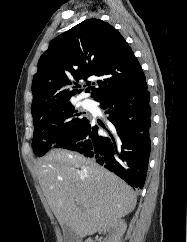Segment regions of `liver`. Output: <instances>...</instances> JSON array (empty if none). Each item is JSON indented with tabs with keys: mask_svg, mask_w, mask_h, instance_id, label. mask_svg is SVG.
<instances>
[{
	"mask_svg": "<svg viewBox=\"0 0 187 242\" xmlns=\"http://www.w3.org/2000/svg\"><path fill=\"white\" fill-rule=\"evenodd\" d=\"M35 174L59 224L80 238L132 212L134 191L95 161L52 150L37 161Z\"/></svg>",
	"mask_w": 187,
	"mask_h": 242,
	"instance_id": "1",
	"label": "liver"
}]
</instances>
